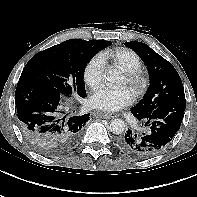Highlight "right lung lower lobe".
<instances>
[{"label": "right lung lower lobe", "instance_id": "98d812e1", "mask_svg": "<svg viewBox=\"0 0 197 197\" xmlns=\"http://www.w3.org/2000/svg\"><path fill=\"white\" fill-rule=\"evenodd\" d=\"M65 100L50 83L20 77L15 104L21 130L32 143L63 152L78 141L89 114L70 115Z\"/></svg>", "mask_w": 197, "mask_h": 197}]
</instances>
